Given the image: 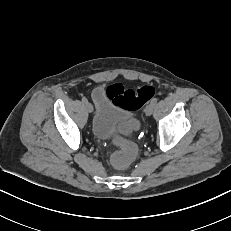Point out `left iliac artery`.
Instances as JSON below:
<instances>
[{
  "label": "left iliac artery",
  "mask_w": 231,
  "mask_h": 231,
  "mask_svg": "<svg viewBox=\"0 0 231 231\" xmlns=\"http://www.w3.org/2000/svg\"><path fill=\"white\" fill-rule=\"evenodd\" d=\"M157 101H158V99H157V98H153V99L151 100V103L156 104V103H157Z\"/></svg>",
  "instance_id": "44dca946"
}]
</instances>
